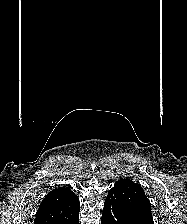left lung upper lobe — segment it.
<instances>
[{"mask_svg": "<svg viewBox=\"0 0 187 224\" xmlns=\"http://www.w3.org/2000/svg\"><path fill=\"white\" fill-rule=\"evenodd\" d=\"M117 196L123 207L134 217L154 224L151 214V203L138 183L130 179H120L109 191Z\"/></svg>", "mask_w": 187, "mask_h": 224, "instance_id": "obj_1", "label": "left lung upper lobe"}]
</instances>
